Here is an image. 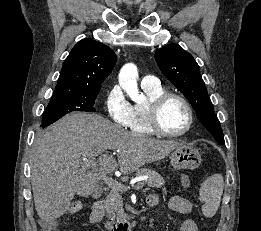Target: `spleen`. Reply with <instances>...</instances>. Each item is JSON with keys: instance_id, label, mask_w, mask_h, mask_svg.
Listing matches in <instances>:
<instances>
[{"instance_id": "3e777b00", "label": "spleen", "mask_w": 261, "mask_h": 231, "mask_svg": "<svg viewBox=\"0 0 261 231\" xmlns=\"http://www.w3.org/2000/svg\"><path fill=\"white\" fill-rule=\"evenodd\" d=\"M224 181L221 174H214L204 180L200 188V200L204 203L202 212L206 217H213L220 205Z\"/></svg>"}]
</instances>
